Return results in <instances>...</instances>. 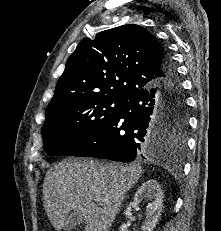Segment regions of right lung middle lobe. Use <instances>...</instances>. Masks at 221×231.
Returning <instances> with one entry per match:
<instances>
[{"mask_svg":"<svg viewBox=\"0 0 221 231\" xmlns=\"http://www.w3.org/2000/svg\"><path fill=\"white\" fill-rule=\"evenodd\" d=\"M125 99L92 96L71 101L46 117L41 132L44 149L51 155L65 154L103 128L120 110ZM173 143L185 145L188 115L186 104L167 103L159 117Z\"/></svg>","mask_w":221,"mask_h":231,"instance_id":"right-lung-middle-lobe-1","label":"right lung middle lobe"}]
</instances>
